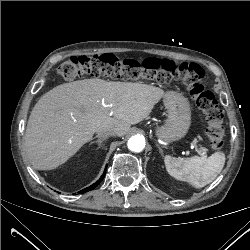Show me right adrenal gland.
Returning a JSON list of instances; mask_svg holds the SVG:
<instances>
[{
	"label": "right adrenal gland",
	"instance_id": "right-adrenal-gland-1",
	"mask_svg": "<svg viewBox=\"0 0 250 250\" xmlns=\"http://www.w3.org/2000/svg\"><path fill=\"white\" fill-rule=\"evenodd\" d=\"M106 140H107V137H102V138H98V139L95 140V141H92L90 144L97 143V144H98L97 149H99V148L102 147V143H103L104 141H106Z\"/></svg>",
	"mask_w": 250,
	"mask_h": 250
}]
</instances>
